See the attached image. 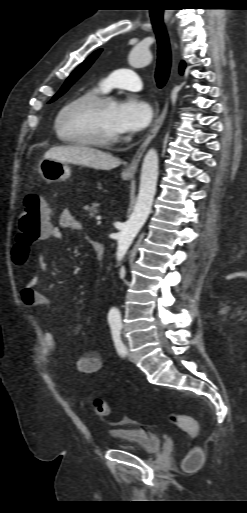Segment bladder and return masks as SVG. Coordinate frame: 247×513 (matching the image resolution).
Masks as SVG:
<instances>
[{
  "instance_id": "31cf9c89",
  "label": "bladder",
  "mask_w": 247,
  "mask_h": 513,
  "mask_svg": "<svg viewBox=\"0 0 247 513\" xmlns=\"http://www.w3.org/2000/svg\"><path fill=\"white\" fill-rule=\"evenodd\" d=\"M110 449L128 450L143 454H155L160 451L162 439L156 434L137 428H120L111 432Z\"/></svg>"
}]
</instances>
